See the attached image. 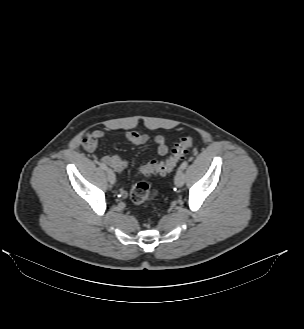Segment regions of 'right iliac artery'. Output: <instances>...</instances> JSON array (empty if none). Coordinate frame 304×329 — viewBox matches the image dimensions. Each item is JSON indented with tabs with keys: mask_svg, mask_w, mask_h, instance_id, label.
<instances>
[{
	"mask_svg": "<svg viewBox=\"0 0 304 329\" xmlns=\"http://www.w3.org/2000/svg\"><path fill=\"white\" fill-rule=\"evenodd\" d=\"M100 167H101L102 169H104V170H107V169H108L107 166H106L104 163H100Z\"/></svg>",
	"mask_w": 304,
	"mask_h": 329,
	"instance_id": "obj_1",
	"label": "right iliac artery"
}]
</instances>
